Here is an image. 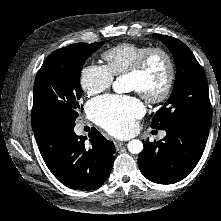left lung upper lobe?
<instances>
[{
    "instance_id": "5c2ea615",
    "label": "left lung upper lobe",
    "mask_w": 221,
    "mask_h": 221,
    "mask_svg": "<svg viewBox=\"0 0 221 221\" xmlns=\"http://www.w3.org/2000/svg\"><path fill=\"white\" fill-rule=\"evenodd\" d=\"M171 51L176 79L170 98L152 119V128L165 130L183 122L211 125L212 109L204 71L191 50L180 40L154 34Z\"/></svg>"
}]
</instances>
